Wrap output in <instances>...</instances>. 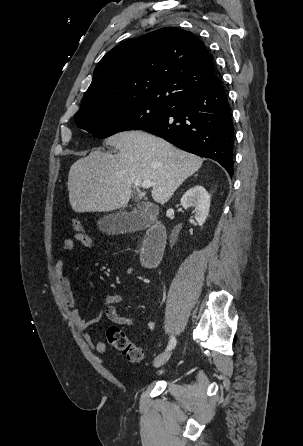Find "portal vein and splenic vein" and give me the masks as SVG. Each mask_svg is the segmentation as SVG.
<instances>
[{
    "instance_id": "portal-vein-and-splenic-vein-1",
    "label": "portal vein and splenic vein",
    "mask_w": 303,
    "mask_h": 446,
    "mask_svg": "<svg viewBox=\"0 0 303 446\" xmlns=\"http://www.w3.org/2000/svg\"><path fill=\"white\" fill-rule=\"evenodd\" d=\"M134 185L135 186H141L144 189H148V188L153 186V183L150 180H144L142 182H138L137 181V182L134 183Z\"/></svg>"
}]
</instances>
